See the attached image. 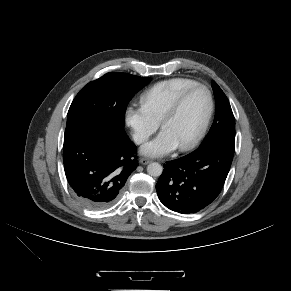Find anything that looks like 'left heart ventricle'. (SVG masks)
<instances>
[{
  "label": "left heart ventricle",
  "instance_id": "b2bd125f",
  "mask_svg": "<svg viewBox=\"0 0 291 291\" xmlns=\"http://www.w3.org/2000/svg\"><path fill=\"white\" fill-rule=\"evenodd\" d=\"M209 106L208 96L202 89L193 91L179 111L163 126L176 140L178 146L187 143L200 129Z\"/></svg>",
  "mask_w": 291,
  "mask_h": 291
}]
</instances>
